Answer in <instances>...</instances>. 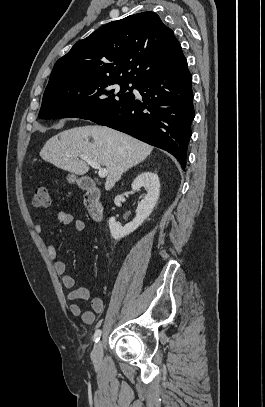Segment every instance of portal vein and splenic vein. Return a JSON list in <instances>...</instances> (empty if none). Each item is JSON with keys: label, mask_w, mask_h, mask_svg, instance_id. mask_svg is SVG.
I'll use <instances>...</instances> for the list:
<instances>
[{"label": "portal vein and splenic vein", "mask_w": 265, "mask_h": 407, "mask_svg": "<svg viewBox=\"0 0 265 407\" xmlns=\"http://www.w3.org/2000/svg\"><path fill=\"white\" fill-rule=\"evenodd\" d=\"M80 158L88 163L93 169L98 170V176L100 178H105L108 175V170L102 168L98 162L89 159L86 155H80Z\"/></svg>", "instance_id": "1"}]
</instances>
